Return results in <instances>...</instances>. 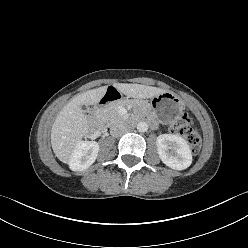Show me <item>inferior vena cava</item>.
<instances>
[{
  "mask_svg": "<svg viewBox=\"0 0 248 248\" xmlns=\"http://www.w3.org/2000/svg\"><path fill=\"white\" fill-rule=\"evenodd\" d=\"M127 126L122 123V122H118L116 124H113L110 128V133L112 136L118 137L123 135L124 133L127 132Z\"/></svg>",
  "mask_w": 248,
  "mask_h": 248,
  "instance_id": "602c4592",
  "label": "inferior vena cava"
}]
</instances>
